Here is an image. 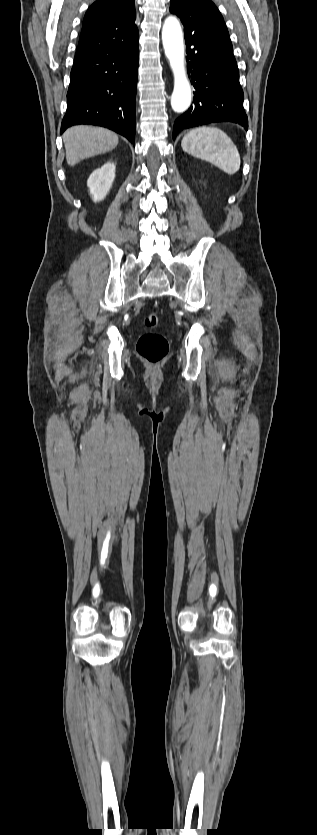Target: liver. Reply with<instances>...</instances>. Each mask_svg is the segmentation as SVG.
<instances>
[{
  "mask_svg": "<svg viewBox=\"0 0 317 835\" xmlns=\"http://www.w3.org/2000/svg\"><path fill=\"white\" fill-rule=\"evenodd\" d=\"M118 141L117 134L105 128L84 125L69 128L63 134L67 163L74 166L82 159L109 152Z\"/></svg>",
  "mask_w": 317,
  "mask_h": 835,
  "instance_id": "1",
  "label": "liver"
}]
</instances>
